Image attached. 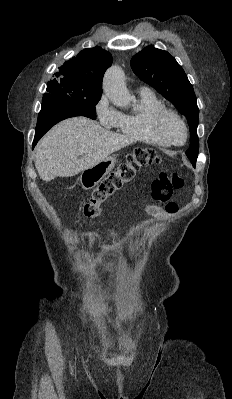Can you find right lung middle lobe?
Masks as SVG:
<instances>
[{
    "label": "right lung middle lobe",
    "instance_id": "1",
    "mask_svg": "<svg viewBox=\"0 0 232 399\" xmlns=\"http://www.w3.org/2000/svg\"><path fill=\"white\" fill-rule=\"evenodd\" d=\"M47 91L48 93L43 96L42 103H61L96 119L95 106L100 100L102 92L71 89L54 82H48Z\"/></svg>",
    "mask_w": 232,
    "mask_h": 399
}]
</instances>
